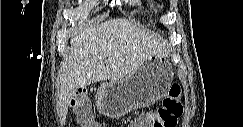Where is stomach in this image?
I'll return each instance as SVG.
<instances>
[{"instance_id":"1","label":"stomach","mask_w":243,"mask_h":127,"mask_svg":"<svg viewBox=\"0 0 243 127\" xmlns=\"http://www.w3.org/2000/svg\"><path fill=\"white\" fill-rule=\"evenodd\" d=\"M173 77L167 58L153 55L126 78L101 84L95 96L97 108L104 116L120 118L150 106L167 94Z\"/></svg>"}]
</instances>
